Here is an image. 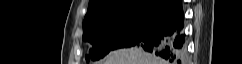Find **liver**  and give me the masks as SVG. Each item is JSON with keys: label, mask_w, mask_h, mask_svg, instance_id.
I'll return each instance as SVG.
<instances>
[{"label": "liver", "mask_w": 242, "mask_h": 64, "mask_svg": "<svg viewBox=\"0 0 242 64\" xmlns=\"http://www.w3.org/2000/svg\"><path fill=\"white\" fill-rule=\"evenodd\" d=\"M163 62L162 59L133 47L112 51L104 60L96 64H163Z\"/></svg>", "instance_id": "1"}]
</instances>
